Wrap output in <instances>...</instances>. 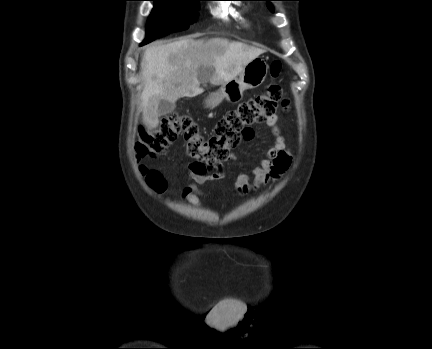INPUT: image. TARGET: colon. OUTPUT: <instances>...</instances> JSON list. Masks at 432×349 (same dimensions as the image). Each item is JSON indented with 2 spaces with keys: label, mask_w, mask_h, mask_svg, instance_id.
Here are the masks:
<instances>
[{
  "label": "colon",
  "mask_w": 432,
  "mask_h": 349,
  "mask_svg": "<svg viewBox=\"0 0 432 349\" xmlns=\"http://www.w3.org/2000/svg\"><path fill=\"white\" fill-rule=\"evenodd\" d=\"M281 64L274 61L270 66L273 78L279 76ZM282 90L276 83H271L264 93L241 103L236 109L228 111L217 122L213 135L204 139L198 123L188 114L173 113L160 122L154 130L141 129L135 144L139 159L153 158L162 155L179 136L185 141L187 155L195 158L207 168L218 167L229 156L231 148L242 139L252 137V125L266 121L275 114L278 104L282 101ZM149 184L162 192L166 187L165 180L156 171H148L141 167Z\"/></svg>",
  "instance_id": "1"
}]
</instances>
